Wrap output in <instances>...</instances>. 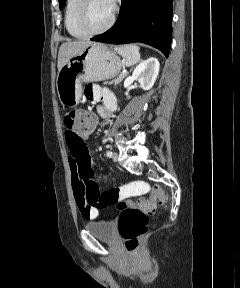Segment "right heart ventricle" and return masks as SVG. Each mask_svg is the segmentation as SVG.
<instances>
[{
  "label": "right heart ventricle",
  "mask_w": 240,
  "mask_h": 288,
  "mask_svg": "<svg viewBox=\"0 0 240 288\" xmlns=\"http://www.w3.org/2000/svg\"><path fill=\"white\" fill-rule=\"evenodd\" d=\"M81 0H67L64 13V24L67 32L74 38H84L87 36L77 25V11Z\"/></svg>",
  "instance_id": "obj_1"
}]
</instances>
